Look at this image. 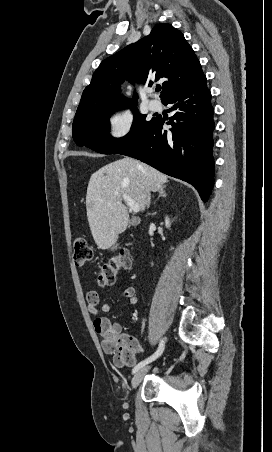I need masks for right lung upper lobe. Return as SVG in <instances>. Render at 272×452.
I'll list each match as a JSON object with an SVG mask.
<instances>
[{"label":"right lung upper lobe","mask_w":272,"mask_h":452,"mask_svg":"<svg viewBox=\"0 0 272 452\" xmlns=\"http://www.w3.org/2000/svg\"><path fill=\"white\" fill-rule=\"evenodd\" d=\"M203 76L200 62L183 34L170 24H157L148 36L101 62L83 91L75 117L95 109L135 105L136 94L127 99L120 93L125 79L166 80L160 96L163 102Z\"/></svg>","instance_id":"1"}]
</instances>
